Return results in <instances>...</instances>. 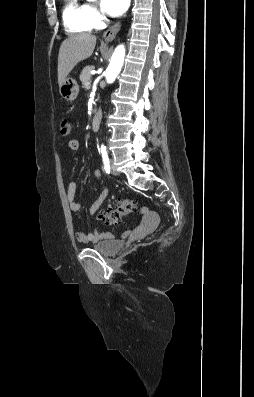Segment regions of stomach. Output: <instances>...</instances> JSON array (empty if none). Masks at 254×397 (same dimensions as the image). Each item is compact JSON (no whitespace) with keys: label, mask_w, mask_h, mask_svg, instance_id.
<instances>
[{"label":"stomach","mask_w":254,"mask_h":397,"mask_svg":"<svg viewBox=\"0 0 254 397\" xmlns=\"http://www.w3.org/2000/svg\"><path fill=\"white\" fill-rule=\"evenodd\" d=\"M62 98L67 101H74L79 93V85L74 78L67 77L59 87Z\"/></svg>","instance_id":"0dacf381"}]
</instances>
